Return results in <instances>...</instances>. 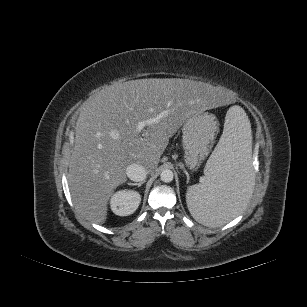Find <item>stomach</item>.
<instances>
[{"mask_svg": "<svg viewBox=\"0 0 307 307\" xmlns=\"http://www.w3.org/2000/svg\"><path fill=\"white\" fill-rule=\"evenodd\" d=\"M217 129L216 117L207 112L195 113L183 123L182 147L189 169L195 171L200 167L210 151Z\"/></svg>", "mask_w": 307, "mask_h": 307, "instance_id": "0dacf381", "label": "stomach"}]
</instances>
